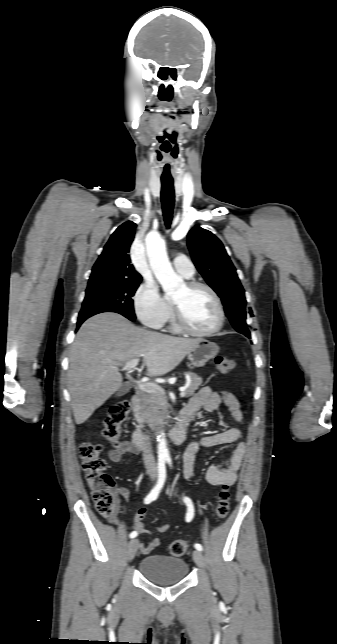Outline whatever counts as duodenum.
Wrapping results in <instances>:
<instances>
[{"label":"duodenum","instance_id":"obj_1","mask_svg":"<svg viewBox=\"0 0 337 644\" xmlns=\"http://www.w3.org/2000/svg\"><path fill=\"white\" fill-rule=\"evenodd\" d=\"M131 407L136 421L139 422L141 420L142 413H141L140 397L138 394H134L132 396ZM188 423H189L188 416H186L185 414H181L177 426L166 435V438L175 445L183 443L187 437ZM150 440H151V437L144 434L139 429H136L132 434V443L138 449L146 448Z\"/></svg>","mask_w":337,"mask_h":644}]
</instances>
